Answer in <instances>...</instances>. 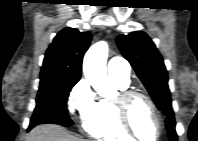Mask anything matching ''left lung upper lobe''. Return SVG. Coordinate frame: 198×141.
<instances>
[{
	"instance_id": "1",
	"label": "left lung upper lobe",
	"mask_w": 198,
	"mask_h": 141,
	"mask_svg": "<svg viewBox=\"0 0 198 141\" xmlns=\"http://www.w3.org/2000/svg\"><path fill=\"white\" fill-rule=\"evenodd\" d=\"M117 45L135 69L157 107L167 115L166 127L170 141H177L167 71L155 44L146 33L132 32L127 36H118Z\"/></svg>"
}]
</instances>
